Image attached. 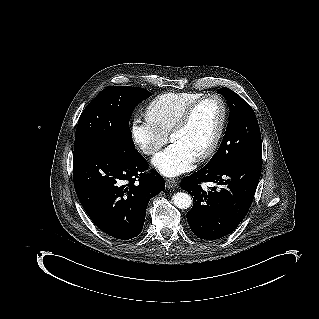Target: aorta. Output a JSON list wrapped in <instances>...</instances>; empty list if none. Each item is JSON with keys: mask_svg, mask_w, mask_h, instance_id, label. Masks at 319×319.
Wrapping results in <instances>:
<instances>
[{"mask_svg": "<svg viewBox=\"0 0 319 319\" xmlns=\"http://www.w3.org/2000/svg\"><path fill=\"white\" fill-rule=\"evenodd\" d=\"M174 205L179 209H188L191 207L193 200L192 197L187 193H176L173 198Z\"/></svg>", "mask_w": 319, "mask_h": 319, "instance_id": "1", "label": "aorta"}]
</instances>
